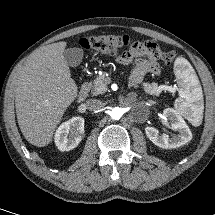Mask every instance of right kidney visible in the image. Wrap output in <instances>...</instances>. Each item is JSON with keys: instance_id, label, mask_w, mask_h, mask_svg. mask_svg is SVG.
Wrapping results in <instances>:
<instances>
[{"instance_id": "ca27d5eb", "label": "right kidney", "mask_w": 215, "mask_h": 215, "mask_svg": "<svg viewBox=\"0 0 215 215\" xmlns=\"http://www.w3.org/2000/svg\"><path fill=\"white\" fill-rule=\"evenodd\" d=\"M84 135V118L73 117L62 123L55 133V144L60 151L75 148Z\"/></svg>"}]
</instances>
